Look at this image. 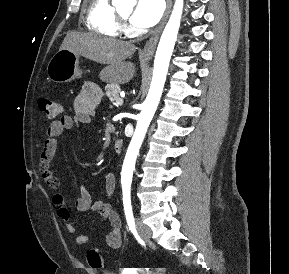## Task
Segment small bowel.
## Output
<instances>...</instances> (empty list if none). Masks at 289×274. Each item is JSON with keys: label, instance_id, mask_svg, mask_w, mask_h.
Returning <instances> with one entry per match:
<instances>
[{"label": "small bowel", "instance_id": "1", "mask_svg": "<svg viewBox=\"0 0 289 274\" xmlns=\"http://www.w3.org/2000/svg\"><path fill=\"white\" fill-rule=\"evenodd\" d=\"M102 98V92L95 83H85L74 99V115H63L50 123L43 149L40 156V171L45 183L54 191L52 203L57 210V215L66 224V230L74 234L76 228L71 222L70 211L67 207V193L62 188L60 180L51 170L55 158L59 137L67 130L73 128L75 123H89L95 115V108ZM116 186L115 175L109 172L105 176V200L93 201L86 187L81 186L80 195L74 201L79 212L98 211L107 222L106 243L110 249L116 250L121 247L122 233L121 221L117 212L109 202ZM78 245H85L90 241L87 235H78L75 239Z\"/></svg>", "mask_w": 289, "mask_h": 274}]
</instances>
